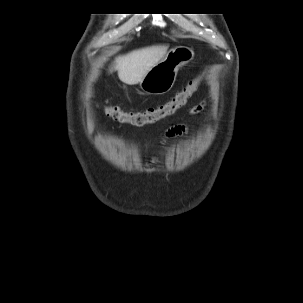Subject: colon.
<instances>
[{
    "instance_id": "1",
    "label": "colon",
    "mask_w": 303,
    "mask_h": 303,
    "mask_svg": "<svg viewBox=\"0 0 303 303\" xmlns=\"http://www.w3.org/2000/svg\"><path fill=\"white\" fill-rule=\"evenodd\" d=\"M202 80V75L191 79L179 92L164 104L152 106L142 111L126 112L118 106L105 105V114L116 122L135 127L156 123L180 109L189 97L195 93Z\"/></svg>"
}]
</instances>
